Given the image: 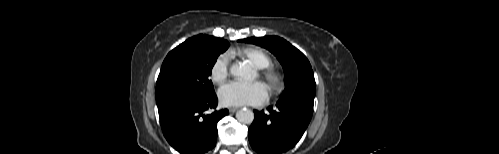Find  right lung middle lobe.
<instances>
[{
    "instance_id": "dd1d6c3e",
    "label": "right lung middle lobe",
    "mask_w": 499,
    "mask_h": 154,
    "mask_svg": "<svg viewBox=\"0 0 499 154\" xmlns=\"http://www.w3.org/2000/svg\"><path fill=\"white\" fill-rule=\"evenodd\" d=\"M229 46L227 40L198 35L174 48L162 64L156 102L174 96L203 99L214 94L209 76L218 56Z\"/></svg>"
}]
</instances>
